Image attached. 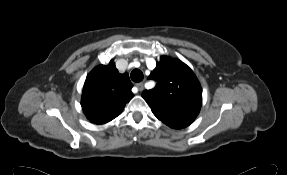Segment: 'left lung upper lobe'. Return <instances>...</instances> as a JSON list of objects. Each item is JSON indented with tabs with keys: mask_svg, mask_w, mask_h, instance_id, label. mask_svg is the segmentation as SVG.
Returning <instances> with one entry per match:
<instances>
[{
	"mask_svg": "<svg viewBox=\"0 0 287 175\" xmlns=\"http://www.w3.org/2000/svg\"><path fill=\"white\" fill-rule=\"evenodd\" d=\"M148 79L157 85L142 97L154 115L174 129L189 126L202 105V89L193 71L179 60L162 56Z\"/></svg>",
	"mask_w": 287,
	"mask_h": 175,
	"instance_id": "left-lung-upper-lobe-1",
	"label": "left lung upper lobe"
}]
</instances>
